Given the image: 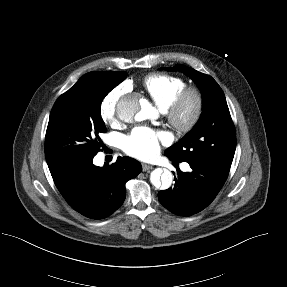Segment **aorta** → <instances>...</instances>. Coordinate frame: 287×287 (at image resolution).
<instances>
[{"label": "aorta", "instance_id": "obj_1", "mask_svg": "<svg viewBox=\"0 0 287 287\" xmlns=\"http://www.w3.org/2000/svg\"><path fill=\"white\" fill-rule=\"evenodd\" d=\"M117 113L125 122L143 121L151 116L153 107L140 95L130 94L119 101ZM150 181L157 189L166 190L173 183V174L167 169L157 168L151 172Z\"/></svg>", "mask_w": 287, "mask_h": 287}]
</instances>
